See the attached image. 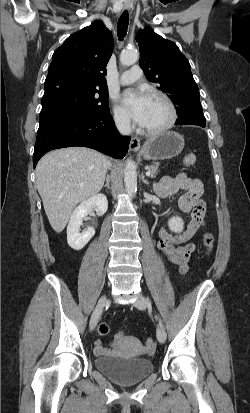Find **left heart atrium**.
Listing matches in <instances>:
<instances>
[{
	"label": "left heart atrium",
	"mask_w": 250,
	"mask_h": 413,
	"mask_svg": "<svg viewBox=\"0 0 250 413\" xmlns=\"http://www.w3.org/2000/svg\"><path fill=\"white\" fill-rule=\"evenodd\" d=\"M151 97L143 91L127 90L122 96V104L131 117L139 124H143Z\"/></svg>",
	"instance_id": "1"
}]
</instances>
